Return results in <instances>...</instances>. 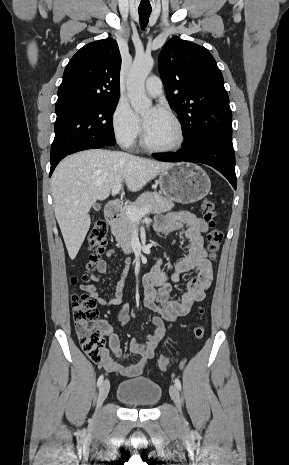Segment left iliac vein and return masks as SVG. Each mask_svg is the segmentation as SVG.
<instances>
[{
	"label": "left iliac vein",
	"instance_id": "left-iliac-vein-1",
	"mask_svg": "<svg viewBox=\"0 0 289 465\" xmlns=\"http://www.w3.org/2000/svg\"><path fill=\"white\" fill-rule=\"evenodd\" d=\"M169 393L176 407L181 412V398H180V393L178 391V388L175 385H171L169 389Z\"/></svg>",
	"mask_w": 289,
	"mask_h": 465
}]
</instances>
